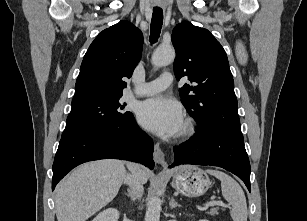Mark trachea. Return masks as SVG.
I'll return each mask as SVG.
<instances>
[{
    "label": "trachea",
    "instance_id": "trachea-1",
    "mask_svg": "<svg viewBox=\"0 0 307 221\" xmlns=\"http://www.w3.org/2000/svg\"><path fill=\"white\" fill-rule=\"evenodd\" d=\"M163 24V11L160 8H154L151 20L150 42H157Z\"/></svg>",
    "mask_w": 307,
    "mask_h": 221
}]
</instances>
